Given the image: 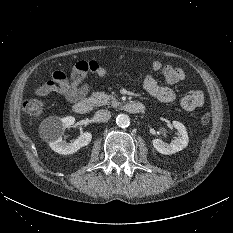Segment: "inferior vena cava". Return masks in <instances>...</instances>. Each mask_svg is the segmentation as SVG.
<instances>
[{
    "mask_svg": "<svg viewBox=\"0 0 233 233\" xmlns=\"http://www.w3.org/2000/svg\"><path fill=\"white\" fill-rule=\"evenodd\" d=\"M95 118L98 122H107L111 118V113L107 109H101L95 113Z\"/></svg>",
    "mask_w": 233,
    "mask_h": 233,
    "instance_id": "obj_1",
    "label": "inferior vena cava"
}]
</instances>
